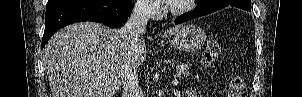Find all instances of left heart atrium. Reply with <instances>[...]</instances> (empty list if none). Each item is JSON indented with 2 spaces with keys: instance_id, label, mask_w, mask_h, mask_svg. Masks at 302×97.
<instances>
[{
  "instance_id": "1",
  "label": "left heart atrium",
  "mask_w": 302,
  "mask_h": 97,
  "mask_svg": "<svg viewBox=\"0 0 302 97\" xmlns=\"http://www.w3.org/2000/svg\"><path fill=\"white\" fill-rule=\"evenodd\" d=\"M177 0H159V2H163L165 4H173L175 3Z\"/></svg>"
}]
</instances>
